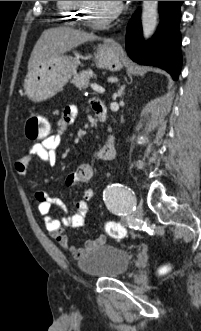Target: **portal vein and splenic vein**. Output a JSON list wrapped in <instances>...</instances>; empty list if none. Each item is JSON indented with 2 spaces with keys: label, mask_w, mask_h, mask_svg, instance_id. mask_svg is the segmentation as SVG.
I'll use <instances>...</instances> for the list:
<instances>
[{
  "label": "portal vein and splenic vein",
  "mask_w": 201,
  "mask_h": 331,
  "mask_svg": "<svg viewBox=\"0 0 201 331\" xmlns=\"http://www.w3.org/2000/svg\"><path fill=\"white\" fill-rule=\"evenodd\" d=\"M91 88L98 93H104L105 89L97 84H91Z\"/></svg>",
  "instance_id": "portal-vein-and-splenic-vein-1"
}]
</instances>
